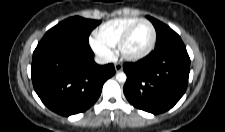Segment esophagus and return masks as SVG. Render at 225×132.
<instances>
[{
    "label": "esophagus",
    "mask_w": 225,
    "mask_h": 132,
    "mask_svg": "<svg viewBox=\"0 0 225 132\" xmlns=\"http://www.w3.org/2000/svg\"><path fill=\"white\" fill-rule=\"evenodd\" d=\"M123 69L122 64L121 63H116L115 64V70L116 72H120Z\"/></svg>",
    "instance_id": "1"
}]
</instances>
